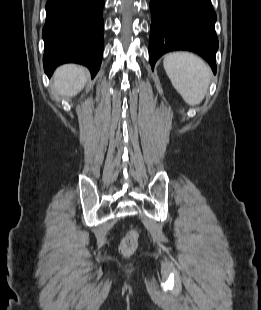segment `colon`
I'll use <instances>...</instances> for the list:
<instances>
[{"instance_id": "1", "label": "colon", "mask_w": 261, "mask_h": 310, "mask_svg": "<svg viewBox=\"0 0 261 310\" xmlns=\"http://www.w3.org/2000/svg\"><path fill=\"white\" fill-rule=\"evenodd\" d=\"M138 245V235L135 231H129L121 240L119 250L124 256H130L134 253Z\"/></svg>"}]
</instances>
